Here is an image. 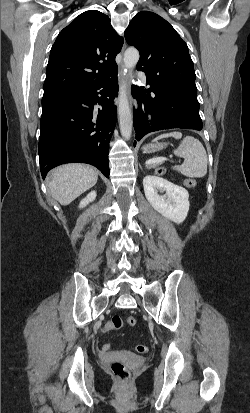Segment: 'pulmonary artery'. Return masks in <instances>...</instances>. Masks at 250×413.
Wrapping results in <instances>:
<instances>
[{"mask_svg":"<svg viewBox=\"0 0 250 413\" xmlns=\"http://www.w3.org/2000/svg\"><path fill=\"white\" fill-rule=\"evenodd\" d=\"M140 77H141L143 80H145V79H146V76H145V74H144V73H141V74H140Z\"/></svg>","mask_w":250,"mask_h":413,"instance_id":"e3ab8cb5","label":"pulmonary artery"}]
</instances>
